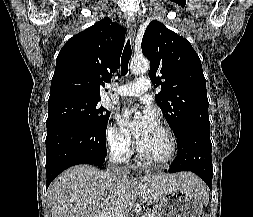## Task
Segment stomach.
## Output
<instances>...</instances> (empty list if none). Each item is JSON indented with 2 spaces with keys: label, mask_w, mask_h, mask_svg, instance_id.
Segmentation results:
<instances>
[{
  "label": "stomach",
  "mask_w": 253,
  "mask_h": 217,
  "mask_svg": "<svg viewBox=\"0 0 253 217\" xmlns=\"http://www.w3.org/2000/svg\"><path fill=\"white\" fill-rule=\"evenodd\" d=\"M203 196L200 192L174 188L159 200L160 217H203Z\"/></svg>",
  "instance_id": "1"
}]
</instances>
